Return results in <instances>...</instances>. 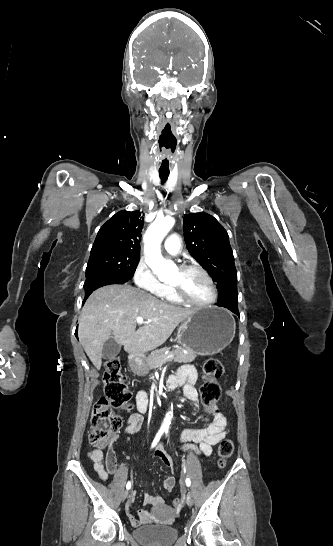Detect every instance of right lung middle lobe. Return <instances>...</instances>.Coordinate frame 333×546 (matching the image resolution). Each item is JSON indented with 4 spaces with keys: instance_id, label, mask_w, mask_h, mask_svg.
Here are the masks:
<instances>
[{
    "instance_id": "dd1d6c3e",
    "label": "right lung middle lobe",
    "mask_w": 333,
    "mask_h": 546,
    "mask_svg": "<svg viewBox=\"0 0 333 546\" xmlns=\"http://www.w3.org/2000/svg\"><path fill=\"white\" fill-rule=\"evenodd\" d=\"M139 254L127 251L103 249L92 251L86 268L91 272H106L132 279L139 262Z\"/></svg>"
}]
</instances>
